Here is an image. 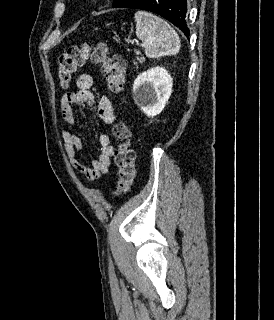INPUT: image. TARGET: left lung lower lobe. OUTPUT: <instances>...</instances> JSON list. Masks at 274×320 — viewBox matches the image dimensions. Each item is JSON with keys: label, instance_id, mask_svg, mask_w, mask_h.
I'll use <instances>...</instances> for the list:
<instances>
[{"label": "left lung lower lobe", "instance_id": "1", "mask_svg": "<svg viewBox=\"0 0 274 320\" xmlns=\"http://www.w3.org/2000/svg\"><path fill=\"white\" fill-rule=\"evenodd\" d=\"M123 8H135L154 12L177 26L189 37L186 13L187 0H129Z\"/></svg>", "mask_w": 274, "mask_h": 320}]
</instances>
